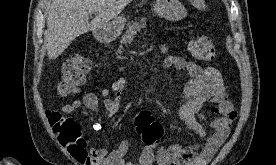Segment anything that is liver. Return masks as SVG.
<instances>
[{
	"instance_id": "obj_1",
	"label": "liver",
	"mask_w": 276,
	"mask_h": 165,
	"mask_svg": "<svg viewBox=\"0 0 276 165\" xmlns=\"http://www.w3.org/2000/svg\"><path fill=\"white\" fill-rule=\"evenodd\" d=\"M132 0H53L44 46L50 60L60 56L78 36L115 19ZM95 18L89 22V16Z\"/></svg>"
}]
</instances>
